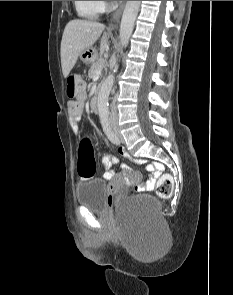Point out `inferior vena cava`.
Masks as SVG:
<instances>
[{"instance_id": "inferior-vena-cava-1", "label": "inferior vena cava", "mask_w": 233, "mask_h": 295, "mask_svg": "<svg viewBox=\"0 0 233 295\" xmlns=\"http://www.w3.org/2000/svg\"><path fill=\"white\" fill-rule=\"evenodd\" d=\"M112 118H117V110H116V106L115 103L113 102V104L111 105V113H110Z\"/></svg>"}]
</instances>
